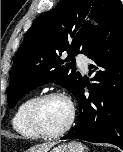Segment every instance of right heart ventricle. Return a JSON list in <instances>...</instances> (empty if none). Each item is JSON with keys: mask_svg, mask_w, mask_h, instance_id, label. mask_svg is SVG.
I'll return each instance as SVG.
<instances>
[{"mask_svg": "<svg viewBox=\"0 0 123 152\" xmlns=\"http://www.w3.org/2000/svg\"><path fill=\"white\" fill-rule=\"evenodd\" d=\"M37 96H30L22 101L12 117V126L17 134L27 139H37L40 136L32 129L28 121V113Z\"/></svg>", "mask_w": 123, "mask_h": 152, "instance_id": "1", "label": "right heart ventricle"}]
</instances>
